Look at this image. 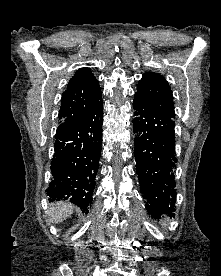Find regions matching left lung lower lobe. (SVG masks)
Wrapping results in <instances>:
<instances>
[{
	"mask_svg": "<svg viewBox=\"0 0 221 276\" xmlns=\"http://www.w3.org/2000/svg\"><path fill=\"white\" fill-rule=\"evenodd\" d=\"M135 115L136 171L146 208L154 218L174 211L176 182L174 118L164 115L147 105L135 95L133 100Z\"/></svg>",
	"mask_w": 221,
	"mask_h": 276,
	"instance_id": "0a47b994",
	"label": "left lung lower lobe"
}]
</instances>
